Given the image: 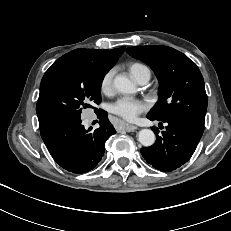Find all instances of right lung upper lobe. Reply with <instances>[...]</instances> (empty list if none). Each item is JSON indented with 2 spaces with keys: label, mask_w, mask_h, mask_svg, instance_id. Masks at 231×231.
Listing matches in <instances>:
<instances>
[{
  "label": "right lung upper lobe",
  "mask_w": 231,
  "mask_h": 231,
  "mask_svg": "<svg viewBox=\"0 0 231 231\" xmlns=\"http://www.w3.org/2000/svg\"><path fill=\"white\" fill-rule=\"evenodd\" d=\"M124 50L125 47H121L119 49H113V50L79 48L65 55L80 54L82 56L89 58L92 62L96 64L111 69L114 66V64L117 62L121 54L124 52ZM36 112L38 115L40 129H43L51 124V122L43 118L39 109L36 108Z\"/></svg>",
  "instance_id": "obj_1"
}]
</instances>
